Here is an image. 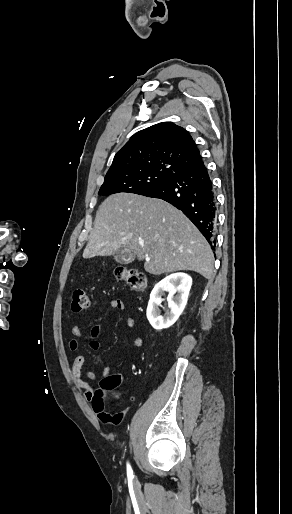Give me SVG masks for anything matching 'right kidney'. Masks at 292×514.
Wrapping results in <instances>:
<instances>
[{
    "label": "right kidney",
    "mask_w": 292,
    "mask_h": 514,
    "mask_svg": "<svg viewBox=\"0 0 292 514\" xmlns=\"http://www.w3.org/2000/svg\"><path fill=\"white\" fill-rule=\"evenodd\" d=\"M191 286V276L182 274V272L170 274V276H166L164 280L156 284L150 294L147 308V318L155 330H164V328H170L172 324H175L187 304ZM164 292H169L167 298L169 310H167L164 316H161V310H159L158 306L163 302L161 296H163ZM176 292L177 296L174 298Z\"/></svg>",
    "instance_id": "right-kidney-1"
}]
</instances>
